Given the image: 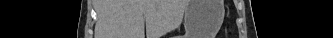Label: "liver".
<instances>
[{
  "label": "liver",
  "instance_id": "6515ba94",
  "mask_svg": "<svg viewBox=\"0 0 333 38\" xmlns=\"http://www.w3.org/2000/svg\"><path fill=\"white\" fill-rule=\"evenodd\" d=\"M183 2V1H179ZM147 9H150L152 14H157L161 17L162 23L169 24L172 21H175L181 16V7L175 6V2L173 0H169L166 2H157L151 1L145 4L144 6ZM151 13H148V18ZM111 26V13L105 15V19L101 21L99 24V29H108Z\"/></svg>",
  "mask_w": 333,
  "mask_h": 38
}]
</instances>
